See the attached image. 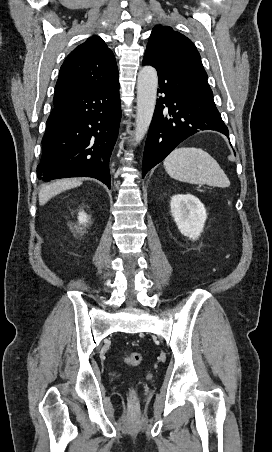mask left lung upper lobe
Wrapping results in <instances>:
<instances>
[{"instance_id": "left-lung-upper-lobe-1", "label": "left lung upper lobe", "mask_w": 272, "mask_h": 452, "mask_svg": "<svg viewBox=\"0 0 272 452\" xmlns=\"http://www.w3.org/2000/svg\"><path fill=\"white\" fill-rule=\"evenodd\" d=\"M145 55L159 63L179 67L207 81L208 77L200 55L192 41L169 26L154 27Z\"/></svg>"}]
</instances>
